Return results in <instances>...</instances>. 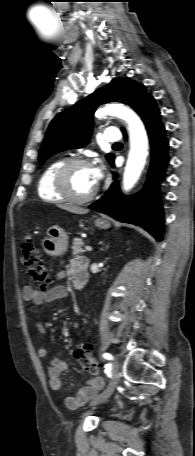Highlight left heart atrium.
<instances>
[{"instance_id": "1", "label": "left heart atrium", "mask_w": 195, "mask_h": 456, "mask_svg": "<svg viewBox=\"0 0 195 456\" xmlns=\"http://www.w3.org/2000/svg\"><path fill=\"white\" fill-rule=\"evenodd\" d=\"M92 174H93L94 184L96 186L102 178V175H103L102 168L101 167L92 168Z\"/></svg>"}]
</instances>
